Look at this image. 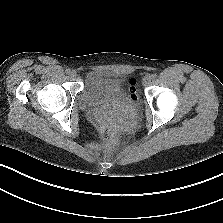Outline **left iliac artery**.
I'll list each match as a JSON object with an SVG mask.
<instances>
[{
	"label": "left iliac artery",
	"instance_id": "1",
	"mask_svg": "<svg viewBox=\"0 0 223 223\" xmlns=\"http://www.w3.org/2000/svg\"><path fill=\"white\" fill-rule=\"evenodd\" d=\"M156 77H157V74H155V73L151 75L152 79H155Z\"/></svg>",
	"mask_w": 223,
	"mask_h": 223
}]
</instances>
